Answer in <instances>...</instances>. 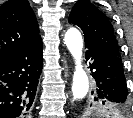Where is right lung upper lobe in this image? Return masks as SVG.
Masks as SVG:
<instances>
[{"instance_id": "right-lung-upper-lobe-1", "label": "right lung upper lobe", "mask_w": 133, "mask_h": 118, "mask_svg": "<svg viewBox=\"0 0 133 118\" xmlns=\"http://www.w3.org/2000/svg\"><path fill=\"white\" fill-rule=\"evenodd\" d=\"M41 41L28 0H8L0 6V62Z\"/></svg>"}]
</instances>
